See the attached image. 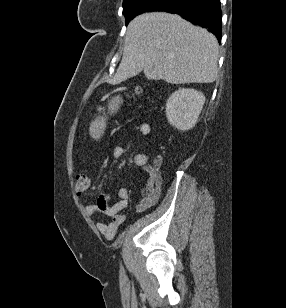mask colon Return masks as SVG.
<instances>
[{"instance_id": "5ec220e1", "label": "colon", "mask_w": 286, "mask_h": 308, "mask_svg": "<svg viewBox=\"0 0 286 308\" xmlns=\"http://www.w3.org/2000/svg\"><path fill=\"white\" fill-rule=\"evenodd\" d=\"M135 92L139 94L142 92V89L138 87L135 89ZM92 185H93V181L89 175L81 173L76 176V183H75L76 192L78 193L85 192L89 190L92 187Z\"/></svg>"}]
</instances>
